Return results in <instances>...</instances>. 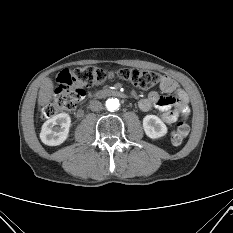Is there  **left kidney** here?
<instances>
[{"label": "left kidney", "instance_id": "obj_1", "mask_svg": "<svg viewBox=\"0 0 233 233\" xmlns=\"http://www.w3.org/2000/svg\"><path fill=\"white\" fill-rule=\"evenodd\" d=\"M143 128L151 139H159L167 134V126L156 115H146L143 118Z\"/></svg>", "mask_w": 233, "mask_h": 233}]
</instances>
